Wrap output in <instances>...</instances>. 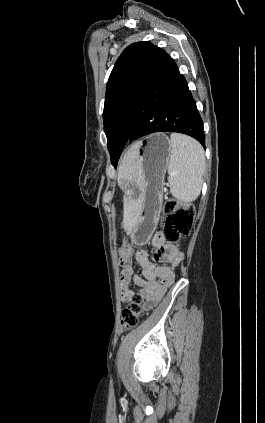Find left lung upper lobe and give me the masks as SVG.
Segmentation results:
<instances>
[{"mask_svg":"<svg viewBox=\"0 0 265 423\" xmlns=\"http://www.w3.org/2000/svg\"><path fill=\"white\" fill-rule=\"evenodd\" d=\"M160 48L150 42H137L120 55L110 74L103 111L104 131L111 162L117 166L127 143L132 117L140 91Z\"/></svg>","mask_w":265,"mask_h":423,"instance_id":"1","label":"left lung upper lobe"}]
</instances>
